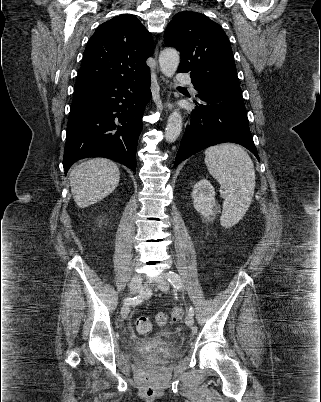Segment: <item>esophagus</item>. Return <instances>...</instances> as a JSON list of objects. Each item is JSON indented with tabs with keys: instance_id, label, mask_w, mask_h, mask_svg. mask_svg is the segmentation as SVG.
<instances>
[{
	"instance_id": "obj_1",
	"label": "esophagus",
	"mask_w": 321,
	"mask_h": 402,
	"mask_svg": "<svg viewBox=\"0 0 321 402\" xmlns=\"http://www.w3.org/2000/svg\"><path fill=\"white\" fill-rule=\"evenodd\" d=\"M157 54H158V46H157L156 51H155V56H156V57H157ZM161 78H162V80H163L165 83H167V82L165 81L164 77H161ZM164 106H165V107L168 106V108H171V105H170L169 103H168V105H167V103H165Z\"/></svg>"
}]
</instances>
